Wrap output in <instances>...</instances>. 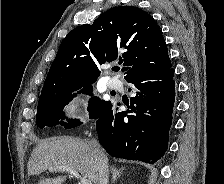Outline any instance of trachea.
<instances>
[{"mask_svg": "<svg viewBox=\"0 0 224 184\" xmlns=\"http://www.w3.org/2000/svg\"><path fill=\"white\" fill-rule=\"evenodd\" d=\"M119 69H120L119 67L113 68L114 71H119Z\"/></svg>", "mask_w": 224, "mask_h": 184, "instance_id": "1", "label": "trachea"}]
</instances>
